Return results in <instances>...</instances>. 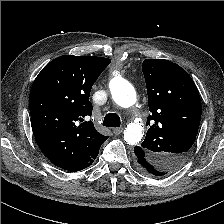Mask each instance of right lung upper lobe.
<instances>
[{
  "mask_svg": "<svg viewBox=\"0 0 224 224\" xmlns=\"http://www.w3.org/2000/svg\"><path fill=\"white\" fill-rule=\"evenodd\" d=\"M111 60L95 56H60L34 80L29 96L36 141L57 167L75 172L89 167L108 137L92 121V85Z\"/></svg>",
  "mask_w": 224,
  "mask_h": 224,
  "instance_id": "right-lung-upper-lobe-1",
  "label": "right lung upper lobe"
}]
</instances>
